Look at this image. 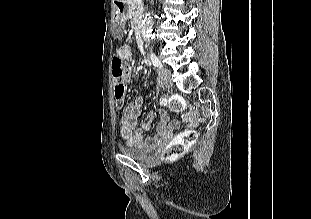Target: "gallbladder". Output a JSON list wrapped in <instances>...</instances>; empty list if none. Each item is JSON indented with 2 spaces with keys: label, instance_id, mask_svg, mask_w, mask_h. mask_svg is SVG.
<instances>
[{
  "label": "gallbladder",
  "instance_id": "bac80fb5",
  "mask_svg": "<svg viewBox=\"0 0 311 219\" xmlns=\"http://www.w3.org/2000/svg\"><path fill=\"white\" fill-rule=\"evenodd\" d=\"M124 24L121 22H117L112 27V35L114 38L120 39L123 35Z\"/></svg>",
  "mask_w": 311,
  "mask_h": 219
}]
</instances>
